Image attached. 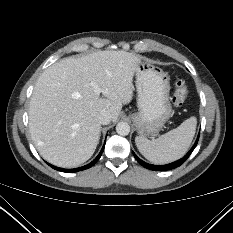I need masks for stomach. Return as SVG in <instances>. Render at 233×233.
Returning <instances> with one entry per match:
<instances>
[{"mask_svg": "<svg viewBox=\"0 0 233 233\" xmlns=\"http://www.w3.org/2000/svg\"><path fill=\"white\" fill-rule=\"evenodd\" d=\"M138 112L132 115L137 132L149 136L159 132L172 115L167 74L142 58L135 71Z\"/></svg>", "mask_w": 233, "mask_h": 233, "instance_id": "obj_1", "label": "stomach"}]
</instances>
